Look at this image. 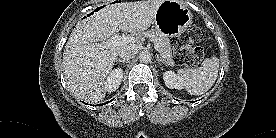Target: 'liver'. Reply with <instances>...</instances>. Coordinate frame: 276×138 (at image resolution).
<instances>
[{
	"instance_id": "liver-1",
	"label": "liver",
	"mask_w": 276,
	"mask_h": 138,
	"mask_svg": "<svg viewBox=\"0 0 276 138\" xmlns=\"http://www.w3.org/2000/svg\"><path fill=\"white\" fill-rule=\"evenodd\" d=\"M163 1L107 5L76 24L65 45L62 60L66 84L74 96L93 103L105 97V81L118 52L135 45L132 42L110 45V39L119 30L138 34L148 29Z\"/></svg>"
}]
</instances>
